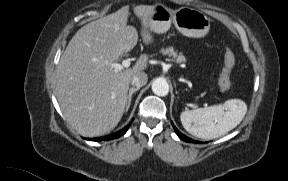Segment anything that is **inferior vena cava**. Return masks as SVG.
<instances>
[{
    "instance_id": "inferior-vena-cava-1",
    "label": "inferior vena cava",
    "mask_w": 288,
    "mask_h": 181,
    "mask_svg": "<svg viewBox=\"0 0 288 181\" xmlns=\"http://www.w3.org/2000/svg\"><path fill=\"white\" fill-rule=\"evenodd\" d=\"M147 81H148L147 74L145 72H139L138 74L133 76L131 84L133 86H136L137 88H140L146 85Z\"/></svg>"
}]
</instances>
